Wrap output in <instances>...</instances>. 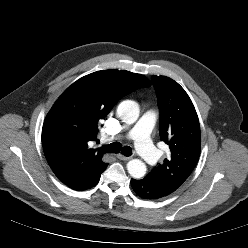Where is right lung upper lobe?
I'll return each mask as SVG.
<instances>
[{
    "label": "right lung upper lobe",
    "mask_w": 248,
    "mask_h": 248,
    "mask_svg": "<svg viewBox=\"0 0 248 248\" xmlns=\"http://www.w3.org/2000/svg\"><path fill=\"white\" fill-rule=\"evenodd\" d=\"M141 74L105 70L86 75L57 99L42 128V145L49 166L58 179L82 191L107 168L105 151L89 147L98 124L119 99L141 87L150 86Z\"/></svg>",
    "instance_id": "cb5924a9"
}]
</instances>
